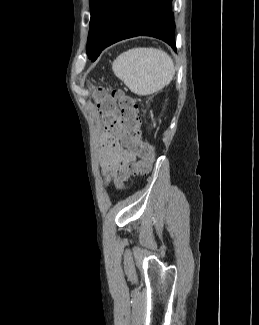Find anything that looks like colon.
I'll return each instance as SVG.
<instances>
[{
    "label": "colon",
    "mask_w": 259,
    "mask_h": 325,
    "mask_svg": "<svg viewBox=\"0 0 259 325\" xmlns=\"http://www.w3.org/2000/svg\"><path fill=\"white\" fill-rule=\"evenodd\" d=\"M95 98L99 111L104 115L106 128L109 131L122 128L123 145L140 158L138 162L116 172L115 184L121 189L131 176L150 171L155 160V150L141 138L139 108L135 98L120 89L98 91Z\"/></svg>",
    "instance_id": "colon-1"
}]
</instances>
